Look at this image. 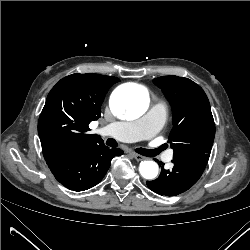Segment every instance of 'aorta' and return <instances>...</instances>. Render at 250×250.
Listing matches in <instances>:
<instances>
[{
	"mask_svg": "<svg viewBox=\"0 0 250 250\" xmlns=\"http://www.w3.org/2000/svg\"><path fill=\"white\" fill-rule=\"evenodd\" d=\"M148 93L140 86L121 87L111 95L110 108L115 116L127 120L137 119L148 109ZM158 164L154 161H142L139 171L145 179H154L158 175Z\"/></svg>",
	"mask_w": 250,
	"mask_h": 250,
	"instance_id": "aorta-1",
	"label": "aorta"
}]
</instances>
